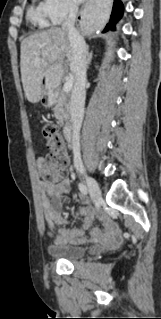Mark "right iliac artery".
<instances>
[{"instance_id":"obj_1","label":"right iliac artery","mask_w":161,"mask_h":319,"mask_svg":"<svg viewBox=\"0 0 161 319\" xmlns=\"http://www.w3.org/2000/svg\"><path fill=\"white\" fill-rule=\"evenodd\" d=\"M78 187H79V190L81 191V193H83L84 195H87L88 194V189H87V187L84 185V184H79L78 185Z\"/></svg>"}]
</instances>
